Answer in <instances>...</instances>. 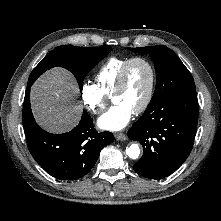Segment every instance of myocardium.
<instances>
[{
	"instance_id": "myocardium-1",
	"label": "myocardium",
	"mask_w": 221,
	"mask_h": 221,
	"mask_svg": "<svg viewBox=\"0 0 221 221\" xmlns=\"http://www.w3.org/2000/svg\"><path fill=\"white\" fill-rule=\"evenodd\" d=\"M136 62H141L144 65H146V67L148 68L149 73H150V83H149V88H148L146 97H145L144 101L142 102V104L133 112L135 115H139V114L143 113L150 105L153 95H154L155 84H156L155 68H154L153 64L147 58L142 57V56H135V57L130 58L123 65V67L120 71V74L118 76V80H117L115 89L112 93V100L115 96H117L119 93H121L122 90L124 89L128 70H129L130 66Z\"/></svg>"
}]
</instances>
